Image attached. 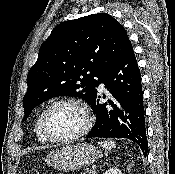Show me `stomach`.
<instances>
[{"label":"stomach","instance_id":"obj_1","mask_svg":"<svg viewBox=\"0 0 175 174\" xmlns=\"http://www.w3.org/2000/svg\"><path fill=\"white\" fill-rule=\"evenodd\" d=\"M101 157V151L95 146L87 143H78L53 150L44 160L55 169L71 171L87 167Z\"/></svg>","mask_w":175,"mask_h":174}]
</instances>
